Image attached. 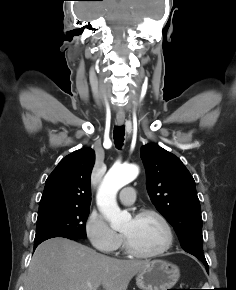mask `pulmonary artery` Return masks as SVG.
<instances>
[{
	"mask_svg": "<svg viewBox=\"0 0 236 290\" xmlns=\"http://www.w3.org/2000/svg\"><path fill=\"white\" fill-rule=\"evenodd\" d=\"M136 192L133 187H125L120 193V200L123 204H132L135 201Z\"/></svg>",
	"mask_w": 236,
	"mask_h": 290,
	"instance_id": "e3ab8cb5",
	"label": "pulmonary artery"
}]
</instances>
